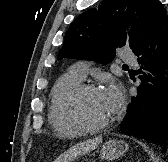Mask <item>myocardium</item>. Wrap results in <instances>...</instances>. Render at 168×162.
<instances>
[{
  "label": "myocardium",
  "instance_id": "obj_1",
  "mask_svg": "<svg viewBox=\"0 0 168 162\" xmlns=\"http://www.w3.org/2000/svg\"><path fill=\"white\" fill-rule=\"evenodd\" d=\"M87 92H102L101 89L90 83H80L71 89L63 99L62 113L65 118L73 125L81 129L83 132H98L107 129L113 123L111 117L101 124H89L79 114L77 103L82 95Z\"/></svg>",
  "mask_w": 168,
  "mask_h": 162
}]
</instances>
